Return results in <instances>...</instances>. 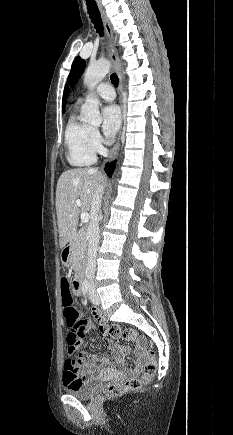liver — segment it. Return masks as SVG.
Here are the masks:
<instances>
[{"label":"liver","mask_w":233,"mask_h":435,"mask_svg":"<svg viewBox=\"0 0 233 435\" xmlns=\"http://www.w3.org/2000/svg\"><path fill=\"white\" fill-rule=\"evenodd\" d=\"M104 184L102 174L92 168H76L63 172L57 182L56 212L59 229V245L63 249L76 237L79 207L82 212L90 210L96 189Z\"/></svg>","instance_id":"1"}]
</instances>
